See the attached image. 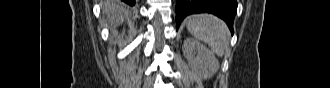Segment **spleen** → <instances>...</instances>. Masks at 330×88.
<instances>
[{
  "label": "spleen",
  "instance_id": "3e777b00",
  "mask_svg": "<svg viewBox=\"0 0 330 88\" xmlns=\"http://www.w3.org/2000/svg\"><path fill=\"white\" fill-rule=\"evenodd\" d=\"M186 25L191 35L208 44L217 56H223L229 31L222 20L211 14H198L189 16Z\"/></svg>",
  "mask_w": 330,
  "mask_h": 88
}]
</instances>
